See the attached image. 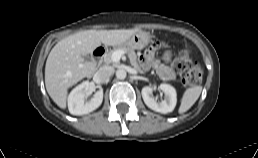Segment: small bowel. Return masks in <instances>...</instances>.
<instances>
[{"label":"small bowel","mask_w":258,"mask_h":158,"mask_svg":"<svg viewBox=\"0 0 258 158\" xmlns=\"http://www.w3.org/2000/svg\"><path fill=\"white\" fill-rule=\"evenodd\" d=\"M142 61L145 64V66L155 69L157 74L162 79L164 80L174 79L175 74L169 65L170 53L168 50H166L163 61H161L155 55V47H151L145 52Z\"/></svg>","instance_id":"c3829d8e"}]
</instances>
